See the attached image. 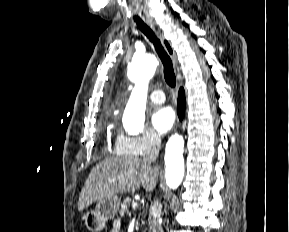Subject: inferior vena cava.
Here are the masks:
<instances>
[{
  "label": "inferior vena cava",
  "instance_id": "1",
  "mask_svg": "<svg viewBox=\"0 0 289 232\" xmlns=\"http://www.w3.org/2000/svg\"><path fill=\"white\" fill-rule=\"evenodd\" d=\"M161 148V138L154 134L151 137V144L149 149V155L144 159L146 162H154L158 157ZM161 202L156 199L151 205V212L148 218L149 232H163L161 219Z\"/></svg>",
  "mask_w": 289,
  "mask_h": 232
}]
</instances>
